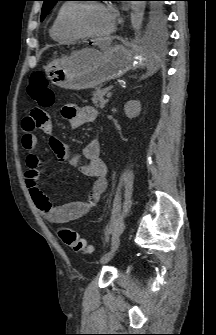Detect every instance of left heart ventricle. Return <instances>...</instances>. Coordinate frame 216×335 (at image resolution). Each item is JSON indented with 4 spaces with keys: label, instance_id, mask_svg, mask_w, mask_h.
I'll use <instances>...</instances> for the list:
<instances>
[{
    "label": "left heart ventricle",
    "instance_id": "obj_1",
    "mask_svg": "<svg viewBox=\"0 0 216 335\" xmlns=\"http://www.w3.org/2000/svg\"><path fill=\"white\" fill-rule=\"evenodd\" d=\"M83 27L90 32L103 33L112 26L106 9L97 5L87 6L81 14Z\"/></svg>",
    "mask_w": 216,
    "mask_h": 335
}]
</instances>
